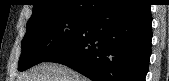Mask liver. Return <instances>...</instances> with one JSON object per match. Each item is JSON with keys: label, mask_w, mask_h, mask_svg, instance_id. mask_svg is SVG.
Segmentation results:
<instances>
[{"label": "liver", "mask_w": 169, "mask_h": 81, "mask_svg": "<svg viewBox=\"0 0 169 81\" xmlns=\"http://www.w3.org/2000/svg\"><path fill=\"white\" fill-rule=\"evenodd\" d=\"M17 81H88V79L65 65L44 62L21 74Z\"/></svg>", "instance_id": "liver-1"}]
</instances>
